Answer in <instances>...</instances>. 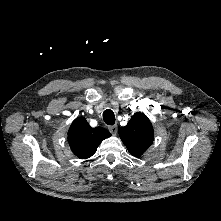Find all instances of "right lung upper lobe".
<instances>
[{
    "label": "right lung upper lobe",
    "instance_id": "right-lung-upper-lobe-1",
    "mask_svg": "<svg viewBox=\"0 0 221 221\" xmlns=\"http://www.w3.org/2000/svg\"><path fill=\"white\" fill-rule=\"evenodd\" d=\"M111 134L104 128H92L85 118H76L68 131V141L72 152L80 159L92 156L99 144Z\"/></svg>",
    "mask_w": 221,
    "mask_h": 221
}]
</instances>
